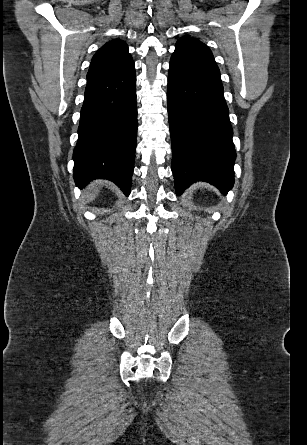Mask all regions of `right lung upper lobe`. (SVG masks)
<instances>
[{
	"label": "right lung upper lobe",
	"mask_w": 307,
	"mask_h": 445,
	"mask_svg": "<svg viewBox=\"0 0 307 445\" xmlns=\"http://www.w3.org/2000/svg\"><path fill=\"white\" fill-rule=\"evenodd\" d=\"M133 63L128 46L121 40H113L101 47L93 56L87 79L114 74Z\"/></svg>",
	"instance_id": "1"
}]
</instances>
